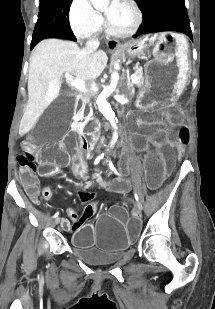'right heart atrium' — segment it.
<instances>
[{
  "instance_id": "right-heart-atrium-1",
  "label": "right heart atrium",
  "mask_w": 215,
  "mask_h": 309,
  "mask_svg": "<svg viewBox=\"0 0 215 309\" xmlns=\"http://www.w3.org/2000/svg\"><path fill=\"white\" fill-rule=\"evenodd\" d=\"M69 12V28L78 38L88 36L93 29H99L100 14L89 6V0H72Z\"/></svg>"
}]
</instances>
